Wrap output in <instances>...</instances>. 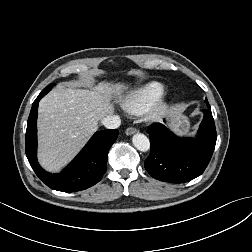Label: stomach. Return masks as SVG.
<instances>
[{
    "instance_id": "0dacf381",
    "label": "stomach",
    "mask_w": 252,
    "mask_h": 252,
    "mask_svg": "<svg viewBox=\"0 0 252 252\" xmlns=\"http://www.w3.org/2000/svg\"><path fill=\"white\" fill-rule=\"evenodd\" d=\"M170 124L174 131L180 135L189 131L190 123L188 117L183 114L180 107H174L169 112Z\"/></svg>"
}]
</instances>
